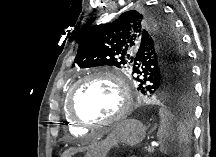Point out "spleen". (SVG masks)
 Instances as JSON below:
<instances>
[{"instance_id":"spleen-1","label":"spleen","mask_w":216,"mask_h":157,"mask_svg":"<svg viewBox=\"0 0 216 157\" xmlns=\"http://www.w3.org/2000/svg\"><path fill=\"white\" fill-rule=\"evenodd\" d=\"M160 127L157 137L160 144V151L166 155H177L187 157L189 148V129L185 123L177 119L169 110L159 109Z\"/></svg>"}]
</instances>
